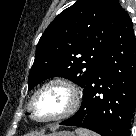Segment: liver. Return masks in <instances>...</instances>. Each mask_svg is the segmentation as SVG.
<instances>
[{
	"label": "liver",
	"mask_w": 136,
	"mask_h": 136,
	"mask_svg": "<svg viewBox=\"0 0 136 136\" xmlns=\"http://www.w3.org/2000/svg\"><path fill=\"white\" fill-rule=\"evenodd\" d=\"M35 136H44V133H43V132H41V133H36Z\"/></svg>",
	"instance_id": "1"
}]
</instances>
